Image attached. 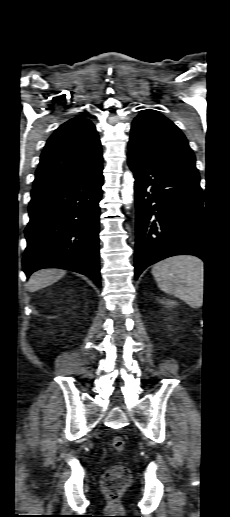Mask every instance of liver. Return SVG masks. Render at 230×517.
I'll list each match as a JSON object with an SVG mask.
<instances>
[{
    "label": "liver",
    "mask_w": 230,
    "mask_h": 517,
    "mask_svg": "<svg viewBox=\"0 0 230 517\" xmlns=\"http://www.w3.org/2000/svg\"><path fill=\"white\" fill-rule=\"evenodd\" d=\"M66 274V271L61 269H41L33 273L27 283V288L30 292H35L39 289L45 288L57 282Z\"/></svg>",
    "instance_id": "obj_1"
}]
</instances>
